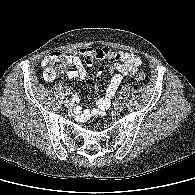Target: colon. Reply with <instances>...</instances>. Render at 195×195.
I'll list each match as a JSON object with an SVG mask.
<instances>
[{
  "label": "colon",
  "instance_id": "colon-1",
  "mask_svg": "<svg viewBox=\"0 0 195 195\" xmlns=\"http://www.w3.org/2000/svg\"><path fill=\"white\" fill-rule=\"evenodd\" d=\"M68 64L67 56L61 52L50 53L44 58L42 62L45 76L48 79H53L57 75L65 73ZM135 79L139 82H142L145 80V75L143 73H138L135 76Z\"/></svg>",
  "mask_w": 195,
  "mask_h": 195
}]
</instances>
